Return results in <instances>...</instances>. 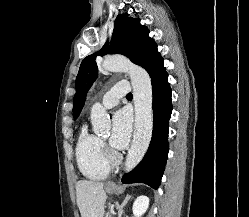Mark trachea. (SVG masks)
Returning <instances> with one entry per match:
<instances>
[{
	"instance_id": "1",
	"label": "trachea",
	"mask_w": 249,
	"mask_h": 217,
	"mask_svg": "<svg viewBox=\"0 0 249 217\" xmlns=\"http://www.w3.org/2000/svg\"><path fill=\"white\" fill-rule=\"evenodd\" d=\"M126 97H132V93H128Z\"/></svg>"
}]
</instances>
